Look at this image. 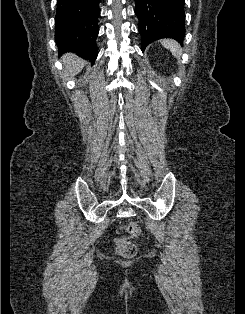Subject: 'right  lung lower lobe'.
<instances>
[{"label": "right lung lower lobe", "mask_w": 245, "mask_h": 314, "mask_svg": "<svg viewBox=\"0 0 245 314\" xmlns=\"http://www.w3.org/2000/svg\"><path fill=\"white\" fill-rule=\"evenodd\" d=\"M100 0H57L55 41L59 53L73 52L95 61Z\"/></svg>", "instance_id": "right-lung-lower-lobe-1"}]
</instances>
